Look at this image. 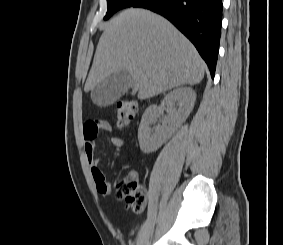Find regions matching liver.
Masks as SVG:
<instances>
[{"label": "liver", "mask_w": 283, "mask_h": 245, "mask_svg": "<svg viewBox=\"0 0 283 245\" xmlns=\"http://www.w3.org/2000/svg\"><path fill=\"white\" fill-rule=\"evenodd\" d=\"M121 70L134 84L132 95L147 99L204 77L205 63L193 44L169 21L145 9L129 8L102 33L84 91Z\"/></svg>", "instance_id": "liver-1"}]
</instances>
